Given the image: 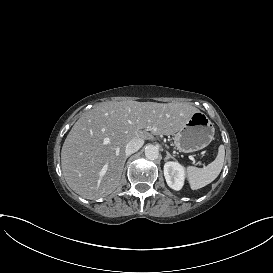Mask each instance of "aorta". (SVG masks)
<instances>
[{
  "label": "aorta",
  "instance_id": "aorta-1",
  "mask_svg": "<svg viewBox=\"0 0 273 273\" xmlns=\"http://www.w3.org/2000/svg\"><path fill=\"white\" fill-rule=\"evenodd\" d=\"M145 156L150 160H155L159 156V149L155 145H147L145 147Z\"/></svg>",
  "mask_w": 273,
  "mask_h": 273
}]
</instances>
